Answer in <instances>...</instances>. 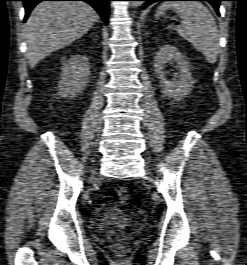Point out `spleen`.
Returning <instances> with one entry per match:
<instances>
[{"label":"spleen","instance_id":"spleen-1","mask_svg":"<svg viewBox=\"0 0 247 265\" xmlns=\"http://www.w3.org/2000/svg\"><path fill=\"white\" fill-rule=\"evenodd\" d=\"M168 9L174 10L184 20L182 25H169L168 29L177 31L201 52L209 63L214 64L219 53V35L209 10L197 1H167L158 7L156 17Z\"/></svg>","mask_w":247,"mask_h":265}]
</instances>
